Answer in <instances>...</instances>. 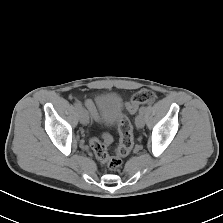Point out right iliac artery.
I'll return each mask as SVG.
<instances>
[{"mask_svg":"<svg viewBox=\"0 0 223 223\" xmlns=\"http://www.w3.org/2000/svg\"><path fill=\"white\" fill-rule=\"evenodd\" d=\"M74 105L78 110L81 109V104L79 102H75Z\"/></svg>","mask_w":223,"mask_h":223,"instance_id":"1","label":"right iliac artery"}]
</instances>
